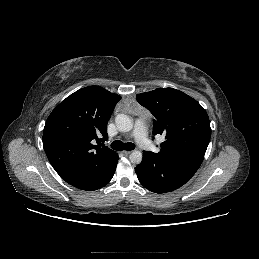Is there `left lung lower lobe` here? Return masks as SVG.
Returning a JSON list of instances; mask_svg holds the SVG:
<instances>
[{
    "label": "left lung lower lobe",
    "instance_id": "1",
    "mask_svg": "<svg viewBox=\"0 0 259 259\" xmlns=\"http://www.w3.org/2000/svg\"><path fill=\"white\" fill-rule=\"evenodd\" d=\"M196 171L192 166L157 157L148 151L143 152V160L135 168L140 183L155 193L170 192L181 187Z\"/></svg>",
    "mask_w": 259,
    "mask_h": 259
}]
</instances>
